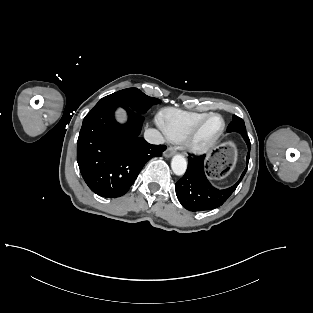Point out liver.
<instances>
[{"label":"liver","instance_id":"obj_1","mask_svg":"<svg viewBox=\"0 0 313 313\" xmlns=\"http://www.w3.org/2000/svg\"><path fill=\"white\" fill-rule=\"evenodd\" d=\"M116 116H117V119L119 122H124L126 121V112L122 109H119L117 112H116Z\"/></svg>","mask_w":313,"mask_h":313}]
</instances>
